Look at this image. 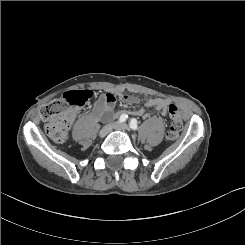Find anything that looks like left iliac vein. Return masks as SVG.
I'll return each instance as SVG.
<instances>
[{
  "instance_id": "4c4485c4",
  "label": "left iliac vein",
  "mask_w": 245,
  "mask_h": 245,
  "mask_svg": "<svg viewBox=\"0 0 245 245\" xmlns=\"http://www.w3.org/2000/svg\"><path fill=\"white\" fill-rule=\"evenodd\" d=\"M116 128L119 129V130H123V131L129 130L128 125L125 124V123L124 124L117 125Z\"/></svg>"
}]
</instances>
